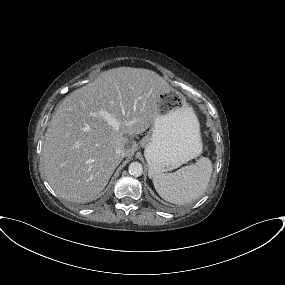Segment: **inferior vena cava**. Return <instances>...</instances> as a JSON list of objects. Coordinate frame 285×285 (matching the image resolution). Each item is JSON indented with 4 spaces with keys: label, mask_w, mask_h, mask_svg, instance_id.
<instances>
[{
    "label": "inferior vena cava",
    "mask_w": 285,
    "mask_h": 285,
    "mask_svg": "<svg viewBox=\"0 0 285 285\" xmlns=\"http://www.w3.org/2000/svg\"><path fill=\"white\" fill-rule=\"evenodd\" d=\"M116 155L120 158H123L125 156V150L121 147L117 148Z\"/></svg>",
    "instance_id": "inferior-vena-cava-1"
}]
</instances>
